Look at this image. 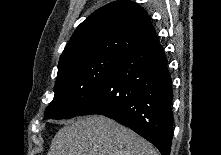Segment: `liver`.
Here are the masks:
<instances>
[{
  "label": "liver",
  "instance_id": "1",
  "mask_svg": "<svg viewBox=\"0 0 221 155\" xmlns=\"http://www.w3.org/2000/svg\"><path fill=\"white\" fill-rule=\"evenodd\" d=\"M48 155H157L152 144L104 116L69 122L52 140Z\"/></svg>",
  "mask_w": 221,
  "mask_h": 155
}]
</instances>
